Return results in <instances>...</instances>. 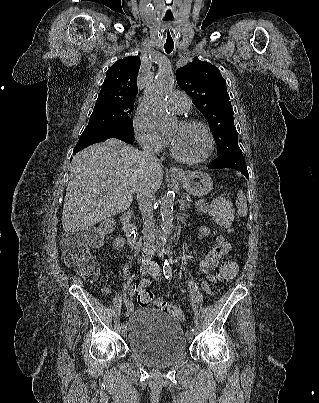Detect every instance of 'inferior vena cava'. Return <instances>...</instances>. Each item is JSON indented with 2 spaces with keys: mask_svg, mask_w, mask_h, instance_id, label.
Returning <instances> with one entry per match:
<instances>
[{
  "mask_svg": "<svg viewBox=\"0 0 319 403\" xmlns=\"http://www.w3.org/2000/svg\"><path fill=\"white\" fill-rule=\"evenodd\" d=\"M143 159L149 169L159 166V160L154 151L150 148L143 149ZM156 188L150 176L143 181L136 190L139 209L143 219V234L145 246L149 249L155 248L153 203Z\"/></svg>",
  "mask_w": 319,
  "mask_h": 403,
  "instance_id": "obj_1",
  "label": "inferior vena cava"
}]
</instances>
